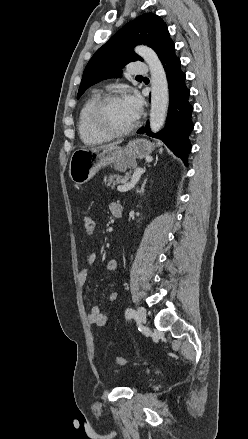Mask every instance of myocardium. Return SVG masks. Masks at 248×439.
Segmentation results:
<instances>
[{
    "label": "myocardium",
    "mask_w": 248,
    "mask_h": 439,
    "mask_svg": "<svg viewBox=\"0 0 248 439\" xmlns=\"http://www.w3.org/2000/svg\"><path fill=\"white\" fill-rule=\"evenodd\" d=\"M122 97L118 94H107L100 97L96 103L93 105L90 111V122L91 125L100 133H103L110 137H122L132 133L138 126V117L132 125L129 127L118 130L113 129L108 126L105 121V110L106 107L113 101L120 100Z\"/></svg>",
    "instance_id": "obj_1"
}]
</instances>
